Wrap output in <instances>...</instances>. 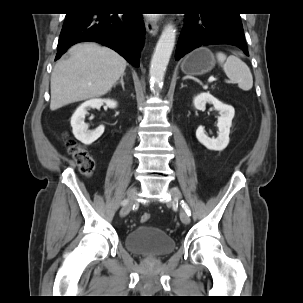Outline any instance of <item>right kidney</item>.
Returning <instances> with one entry per match:
<instances>
[{
    "label": "right kidney",
    "mask_w": 303,
    "mask_h": 303,
    "mask_svg": "<svg viewBox=\"0 0 303 303\" xmlns=\"http://www.w3.org/2000/svg\"><path fill=\"white\" fill-rule=\"evenodd\" d=\"M109 108H116L117 102L111 99H91L82 103L71 117V126L74 136L85 145L96 141L104 132V126L100 125L93 131L88 130V124L84 122L89 108H100L102 105Z\"/></svg>",
    "instance_id": "obj_1"
}]
</instances>
